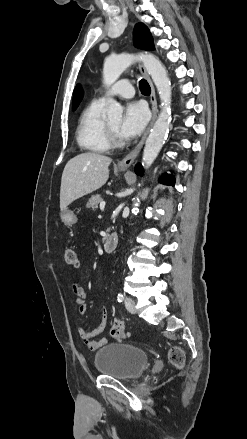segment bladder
Returning a JSON list of instances; mask_svg holds the SVG:
<instances>
[{
    "mask_svg": "<svg viewBox=\"0 0 247 439\" xmlns=\"http://www.w3.org/2000/svg\"><path fill=\"white\" fill-rule=\"evenodd\" d=\"M149 356L143 349L129 344H109L94 356L96 370L120 380L138 377L147 367Z\"/></svg>",
    "mask_w": 247,
    "mask_h": 439,
    "instance_id": "obj_1",
    "label": "bladder"
}]
</instances>
